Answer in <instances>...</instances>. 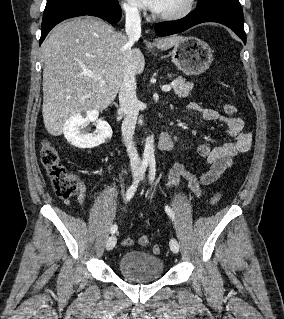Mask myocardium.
Returning <instances> with one entry per match:
<instances>
[{
    "label": "myocardium",
    "instance_id": "f54148a6",
    "mask_svg": "<svg viewBox=\"0 0 284 319\" xmlns=\"http://www.w3.org/2000/svg\"><path fill=\"white\" fill-rule=\"evenodd\" d=\"M196 0H186L184 6L175 12L168 14H154V18L160 21H177L187 17L194 9Z\"/></svg>",
    "mask_w": 284,
    "mask_h": 319
}]
</instances>
